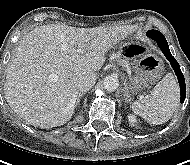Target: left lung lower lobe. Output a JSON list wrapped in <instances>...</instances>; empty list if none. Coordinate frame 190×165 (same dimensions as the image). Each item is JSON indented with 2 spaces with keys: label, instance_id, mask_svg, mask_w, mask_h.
Listing matches in <instances>:
<instances>
[{
  "label": "left lung lower lobe",
  "instance_id": "obj_1",
  "mask_svg": "<svg viewBox=\"0 0 190 165\" xmlns=\"http://www.w3.org/2000/svg\"><path fill=\"white\" fill-rule=\"evenodd\" d=\"M147 36L154 39L158 43V46L160 47L161 51L163 52L165 57L169 60L172 68L174 69L175 74L178 77V81L180 84V90H181L180 102L183 103L186 97V85H185L184 76L180 70L178 62L175 60V58L172 56L169 50L168 43L165 37L160 32L150 33V34H147Z\"/></svg>",
  "mask_w": 190,
  "mask_h": 165
}]
</instances>
